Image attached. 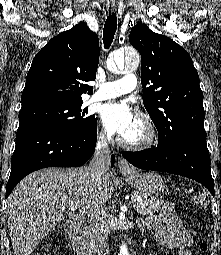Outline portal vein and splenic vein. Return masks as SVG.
Listing matches in <instances>:
<instances>
[{"instance_id": "portal-vein-and-splenic-vein-1", "label": "portal vein and splenic vein", "mask_w": 221, "mask_h": 255, "mask_svg": "<svg viewBox=\"0 0 221 255\" xmlns=\"http://www.w3.org/2000/svg\"><path fill=\"white\" fill-rule=\"evenodd\" d=\"M136 201V200H135ZM137 202H139V200H137ZM137 202H135V203H137ZM135 203L133 204V207H135Z\"/></svg>"}]
</instances>
